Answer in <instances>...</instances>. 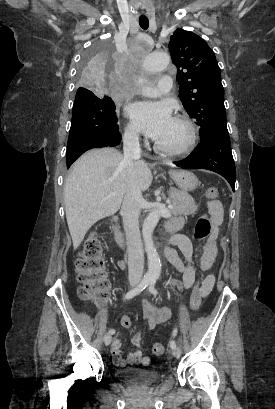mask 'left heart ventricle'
<instances>
[{
  "label": "left heart ventricle",
  "instance_id": "1",
  "mask_svg": "<svg viewBox=\"0 0 275 409\" xmlns=\"http://www.w3.org/2000/svg\"><path fill=\"white\" fill-rule=\"evenodd\" d=\"M185 137V127L172 119L167 127L153 140L161 145L174 147L178 146Z\"/></svg>",
  "mask_w": 275,
  "mask_h": 409
}]
</instances>
